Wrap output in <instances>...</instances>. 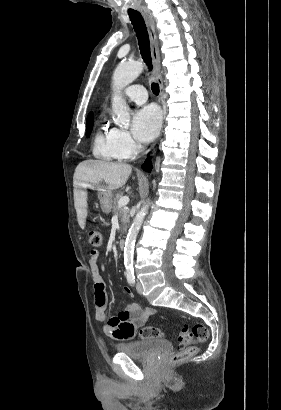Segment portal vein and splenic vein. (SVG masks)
I'll return each instance as SVG.
<instances>
[{"instance_id":"portal-vein-and-splenic-vein-1","label":"portal vein and splenic vein","mask_w":281,"mask_h":410,"mask_svg":"<svg viewBox=\"0 0 281 410\" xmlns=\"http://www.w3.org/2000/svg\"><path fill=\"white\" fill-rule=\"evenodd\" d=\"M128 203H129V197L128 196H123L119 199L118 206L123 207V206H126Z\"/></svg>"}]
</instances>
